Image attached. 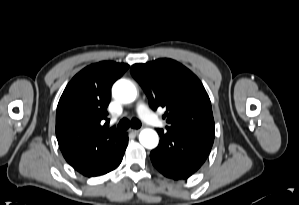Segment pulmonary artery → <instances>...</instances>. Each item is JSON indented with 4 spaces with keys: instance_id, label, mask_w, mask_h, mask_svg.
Masks as SVG:
<instances>
[{
    "instance_id": "e3ab8cb5",
    "label": "pulmonary artery",
    "mask_w": 299,
    "mask_h": 205,
    "mask_svg": "<svg viewBox=\"0 0 299 205\" xmlns=\"http://www.w3.org/2000/svg\"><path fill=\"white\" fill-rule=\"evenodd\" d=\"M137 113L146 123L155 127L163 126V122L158 119L145 104L139 103L137 105Z\"/></svg>"
}]
</instances>
